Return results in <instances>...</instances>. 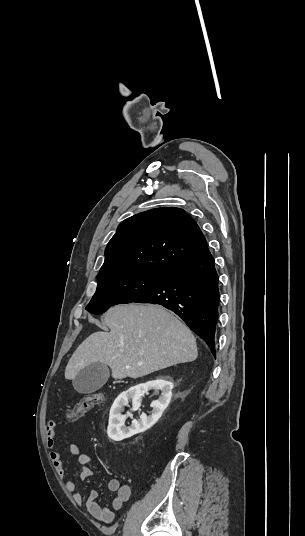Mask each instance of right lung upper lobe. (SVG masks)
<instances>
[{"mask_svg": "<svg viewBox=\"0 0 305 536\" xmlns=\"http://www.w3.org/2000/svg\"><path fill=\"white\" fill-rule=\"evenodd\" d=\"M209 254L203 233L184 210L152 209L120 223L97 279L132 272L169 274Z\"/></svg>", "mask_w": 305, "mask_h": 536, "instance_id": "cb5924a9", "label": "right lung upper lobe"}]
</instances>
